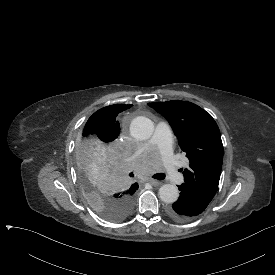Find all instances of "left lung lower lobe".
<instances>
[{"instance_id": "left-lung-lower-lobe-1", "label": "left lung lower lobe", "mask_w": 275, "mask_h": 275, "mask_svg": "<svg viewBox=\"0 0 275 275\" xmlns=\"http://www.w3.org/2000/svg\"><path fill=\"white\" fill-rule=\"evenodd\" d=\"M179 199L167 208L168 216L177 222H185L201 214L212 198L189 186H179Z\"/></svg>"}]
</instances>
